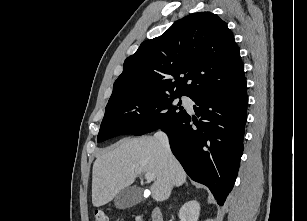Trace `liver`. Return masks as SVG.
Returning <instances> with one entry per match:
<instances>
[{
	"label": "liver",
	"mask_w": 307,
	"mask_h": 221,
	"mask_svg": "<svg viewBox=\"0 0 307 221\" xmlns=\"http://www.w3.org/2000/svg\"><path fill=\"white\" fill-rule=\"evenodd\" d=\"M141 173L154 174L150 189L157 202L167 200L173 186H181L187 176L178 160L155 136L125 139L102 152L93 164V206L109 203Z\"/></svg>",
	"instance_id": "6515ba94"
}]
</instances>
